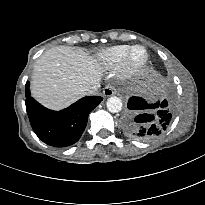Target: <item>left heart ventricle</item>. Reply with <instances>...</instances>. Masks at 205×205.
I'll return each instance as SVG.
<instances>
[{"mask_svg": "<svg viewBox=\"0 0 205 205\" xmlns=\"http://www.w3.org/2000/svg\"><path fill=\"white\" fill-rule=\"evenodd\" d=\"M144 57V51L142 49H137L133 53V60L134 61H140Z\"/></svg>", "mask_w": 205, "mask_h": 205, "instance_id": "b2bd125f", "label": "left heart ventricle"}]
</instances>
